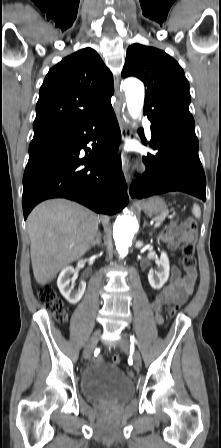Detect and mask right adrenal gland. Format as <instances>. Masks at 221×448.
Listing matches in <instances>:
<instances>
[{"label":"right adrenal gland","instance_id":"2a0ac1e0","mask_svg":"<svg viewBox=\"0 0 221 448\" xmlns=\"http://www.w3.org/2000/svg\"><path fill=\"white\" fill-rule=\"evenodd\" d=\"M100 245H101V233L98 232L97 235H96V239L93 241V243H92L91 246H90V249H91L92 247L100 246Z\"/></svg>","mask_w":221,"mask_h":448}]
</instances>
